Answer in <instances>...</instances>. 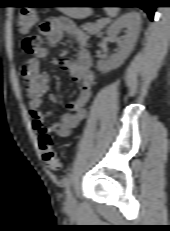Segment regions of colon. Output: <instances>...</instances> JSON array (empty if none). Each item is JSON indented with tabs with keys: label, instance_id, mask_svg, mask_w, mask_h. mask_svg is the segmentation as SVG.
Listing matches in <instances>:
<instances>
[{
	"label": "colon",
	"instance_id": "obj_1",
	"mask_svg": "<svg viewBox=\"0 0 170 231\" xmlns=\"http://www.w3.org/2000/svg\"><path fill=\"white\" fill-rule=\"evenodd\" d=\"M37 22L36 12L29 7L22 8L17 17V27L23 34L28 33ZM39 46V39L35 35L24 38L22 48L26 53H34ZM38 145L42 158L48 168L52 171H58L61 168V162L54 148L53 140L50 134L41 133L38 138Z\"/></svg>",
	"mask_w": 170,
	"mask_h": 231
}]
</instances>
